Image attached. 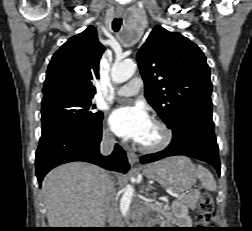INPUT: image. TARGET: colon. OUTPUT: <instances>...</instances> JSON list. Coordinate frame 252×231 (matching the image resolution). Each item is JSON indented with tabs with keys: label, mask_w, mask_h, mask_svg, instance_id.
<instances>
[{
	"label": "colon",
	"mask_w": 252,
	"mask_h": 231,
	"mask_svg": "<svg viewBox=\"0 0 252 231\" xmlns=\"http://www.w3.org/2000/svg\"><path fill=\"white\" fill-rule=\"evenodd\" d=\"M199 220L205 224L211 220L212 212L214 209V201L211 193L205 191L201 194L198 201Z\"/></svg>",
	"instance_id": "1"
}]
</instances>
